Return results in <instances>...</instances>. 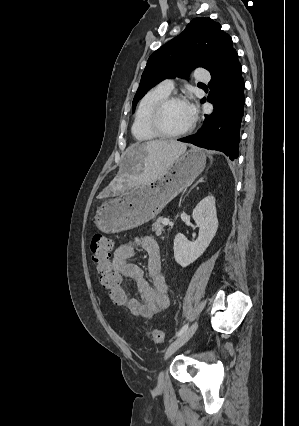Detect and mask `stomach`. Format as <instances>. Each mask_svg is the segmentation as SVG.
I'll list each match as a JSON object with an SVG mask.
<instances>
[{
	"mask_svg": "<svg viewBox=\"0 0 299 426\" xmlns=\"http://www.w3.org/2000/svg\"><path fill=\"white\" fill-rule=\"evenodd\" d=\"M205 164L200 149L185 151L158 179L103 203L96 211L95 225L104 233H118L150 221L200 175Z\"/></svg>",
	"mask_w": 299,
	"mask_h": 426,
	"instance_id": "0dacf381",
	"label": "stomach"
}]
</instances>
